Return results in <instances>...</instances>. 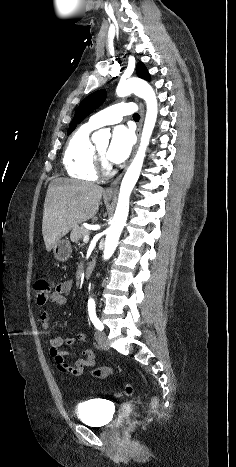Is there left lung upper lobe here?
Instances as JSON below:
<instances>
[{"label": "left lung upper lobe", "instance_id": "5c2ea615", "mask_svg": "<svg viewBox=\"0 0 236 467\" xmlns=\"http://www.w3.org/2000/svg\"><path fill=\"white\" fill-rule=\"evenodd\" d=\"M137 75L140 78H143L145 80H150V75L144 66L143 63L139 62L137 64ZM106 98V91L105 90H99L96 91L89 96H87L78 106L74 119L72 120L69 129H68V135L73 132V130L76 128V125L80 123L85 117H87L89 114H91L95 109H97L105 100Z\"/></svg>", "mask_w": 236, "mask_h": 467}]
</instances>
